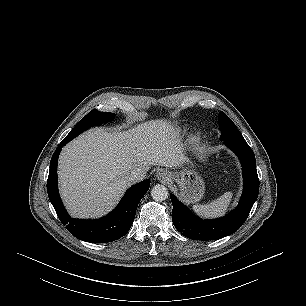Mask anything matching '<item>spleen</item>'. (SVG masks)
<instances>
[{
	"label": "spleen",
	"instance_id": "1",
	"mask_svg": "<svg viewBox=\"0 0 306 306\" xmlns=\"http://www.w3.org/2000/svg\"><path fill=\"white\" fill-rule=\"evenodd\" d=\"M232 196V192H226L209 204L194 205L193 210L196 214L205 218H216L223 216L229 207Z\"/></svg>",
	"mask_w": 306,
	"mask_h": 306
}]
</instances>
